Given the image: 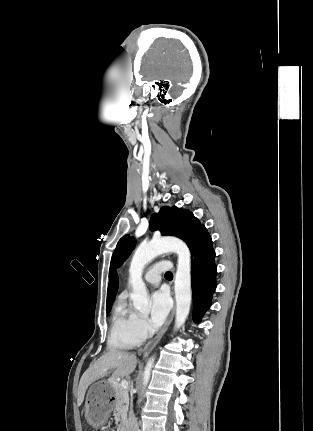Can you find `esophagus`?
Returning <instances> with one entry per match:
<instances>
[{
  "mask_svg": "<svg viewBox=\"0 0 313 431\" xmlns=\"http://www.w3.org/2000/svg\"><path fill=\"white\" fill-rule=\"evenodd\" d=\"M175 314V305L169 315V317L167 318L164 326L162 327V329L159 331V333L152 339L150 340L144 347L143 349V353L147 354L148 352H150L151 350H153V348L157 345V343L160 341V339L162 338V336L165 334V332L167 331L170 323L173 320Z\"/></svg>",
  "mask_w": 313,
  "mask_h": 431,
  "instance_id": "34e87169",
  "label": "esophagus"
}]
</instances>
